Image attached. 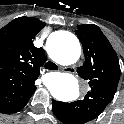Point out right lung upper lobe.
I'll use <instances>...</instances> for the list:
<instances>
[{
	"instance_id": "cb5924a9",
	"label": "right lung upper lobe",
	"mask_w": 124,
	"mask_h": 124,
	"mask_svg": "<svg viewBox=\"0 0 124 124\" xmlns=\"http://www.w3.org/2000/svg\"><path fill=\"white\" fill-rule=\"evenodd\" d=\"M45 26L37 18L19 17L0 29V112L21 110L36 90L45 53L33 39Z\"/></svg>"
}]
</instances>
